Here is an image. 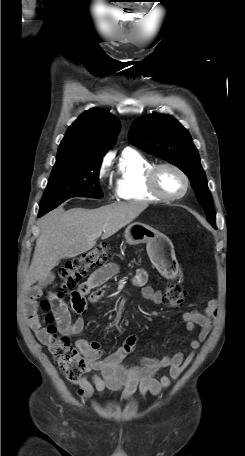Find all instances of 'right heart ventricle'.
I'll list each match as a JSON object with an SVG mask.
<instances>
[{"label": "right heart ventricle", "instance_id": "e07e8e85", "mask_svg": "<svg viewBox=\"0 0 245 456\" xmlns=\"http://www.w3.org/2000/svg\"><path fill=\"white\" fill-rule=\"evenodd\" d=\"M153 163L137 151L126 148L121 153L116 171V193L125 201L153 202L159 199L146 186V173Z\"/></svg>", "mask_w": 245, "mask_h": 456}]
</instances>
